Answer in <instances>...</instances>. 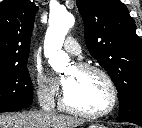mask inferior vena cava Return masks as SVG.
Here are the masks:
<instances>
[{
	"label": "inferior vena cava",
	"mask_w": 142,
	"mask_h": 128,
	"mask_svg": "<svg viewBox=\"0 0 142 128\" xmlns=\"http://www.w3.org/2000/svg\"><path fill=\"white\" fill-rule=\"evenodd\" d=\"M40 107L43 112L48 113V114H53L54 113V99L52 96L47 95L43 99L40 100Z\"/></svg>",
	"instance_id": "1"
}]
</instances>
